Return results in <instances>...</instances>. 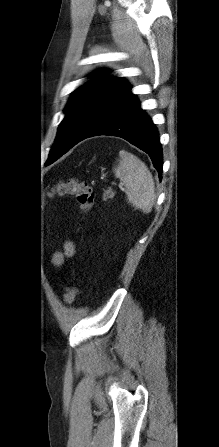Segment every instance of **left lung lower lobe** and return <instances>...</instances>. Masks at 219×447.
Here are the masks:
<instances>
[{
  "label": "left lung lower lobe",
  "mask_w": 219,
  "mask_h": 447,
  "mask_svg": "<svg viewBox=\"0 0 219 447\" xmlns=\"http://www.w3.org/2000/svg\"><path fill=\"white\" fill-rule=\"evenodd\" d=\"M99 135L121 137L146 152L161 177L163 157L158 132L131 91L85 138ZM67 151L48 159L45 165L51 164Z\"/></svg>",
  "instance_id": "0a47b994"
}]
</instances>
